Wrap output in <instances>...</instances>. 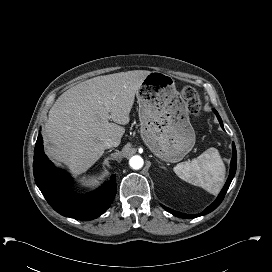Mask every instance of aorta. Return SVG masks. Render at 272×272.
<instances>
[{
    "instance_id": "1",
    "label": "aorta",
    "mask_w": 272,
    "mask_h": 272,
    "mask_svg": "<svg viewBox=\"0 0 272 272\" xmlns=\"http://www.w3.org/2000/svg\"><path fill=\"white\" fill-rule=\"evenodd\" d=\"M143 164H144V161L142 157L138 155L131 157L129 160V165L131 166V168L135 170L142 168Z\"/></svg>"
}]
</instances>
